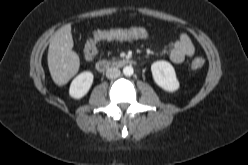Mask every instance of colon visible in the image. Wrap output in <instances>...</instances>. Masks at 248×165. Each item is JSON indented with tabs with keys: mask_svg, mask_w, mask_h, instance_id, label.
Segmentation results:
<instances>
[{
	"mask_svg": "<svg viewBox=\"0 0 248 165\" xmlns=\"http://www.w3.org/2000/svg\"><path fill=\"white\" fill-rule=\"evenodd\" d=\"M138 33L134 31H129L125 29H102L95 31L92 35V42L85 45L84 48V57L87 60H92L95 58L97 53V44L106 39H123L134 36ZM204 65V60L200 57L195 58L191 62V68L193 70H200Z\"/></svg>",
	"mask_w": 248,
	"mask_h": 165,
	"instance_id": "5ec220e1",
	"label": "colon"
}]
</instances>
